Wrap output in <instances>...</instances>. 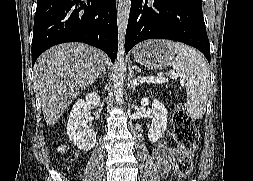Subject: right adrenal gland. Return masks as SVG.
I'll list each match as a JSON object with an SVG mask.
<instances>
[{
	"mask_svg": "<svg viewBox=\"0 0 253 181\" xmlns=\"http://www.w3.org/2000/svg\"><path fill=\"white\" fill-rule=\"evenodd\" d=\"M101 75L105 76L106 75V68L103 69Z\"/></svg>",
	"mask_w": 253,
	"mask_h": 181,
	"instance_id": "right-adrenal-gland-1",
	"label": "right adrenal gland"
}]
</instances>
